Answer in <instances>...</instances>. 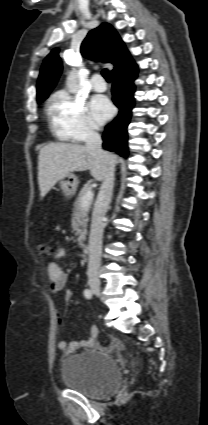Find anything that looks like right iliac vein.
I'll list each match as a JSON object with an SVG mask.
<instances>
[{"instance_id":"right-iliac-vein-1","label":"right iliac vein","mask_w":208,"mask_h":425,"mask_svg":"<svg viewBox=\"0 0 208 425\" xmlns=\"http://www.w3.org/2000/svg\"><path fill=\"white\" fill-rule=\"evenodd\" d=\"M90 288L97 296L100 295V285H99V283L91 282Z\"/></svg>"}]
</instances>
